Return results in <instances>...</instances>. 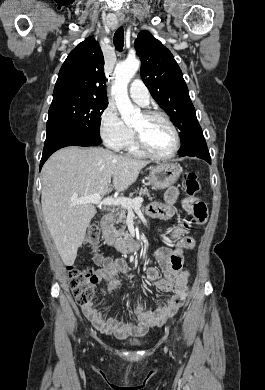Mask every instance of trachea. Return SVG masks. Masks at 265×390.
<instances>
[{"label": "trachea", "mask_w": 265, "mask_h": 390, "mask_svg": "<svg viewBox=\"0 0 265 390\" xmlns=\"http://www.w3.org/2000/svg\"><path fill=\"white\" fill-rule=\"evenodd\" d=\"M124 30L123 27H120L114 34V45L115 48L119 51L123 49L124 46Z\"/></svg>", "instance_id": "obj_1"}]
</instances>
